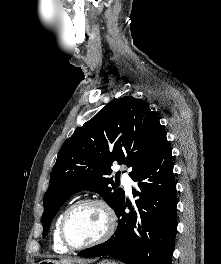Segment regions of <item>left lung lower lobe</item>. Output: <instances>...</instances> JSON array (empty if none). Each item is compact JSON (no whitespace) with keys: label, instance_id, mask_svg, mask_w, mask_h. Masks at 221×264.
Instances as JSON below:
<instances>
[{"label":"left lung lower lobe","instance_id":"1","mask_svg":"<svg viewBox=\"0 0 221 264\" xmlns=\"http://www.w3.org/2000/svg\"><path fill=\"white\" fill-rule=\"evenodd\" d=\"M136 207L125 197L116 208L118 227L106 242L78 253L80 256H109L126 264H172L177 230L176 183L172 151L167 139L154 159L132 177ZM128 206L130 212L126 213Z\"/></svg>","mask_w":221,"mask_h":264}]
</instances>
